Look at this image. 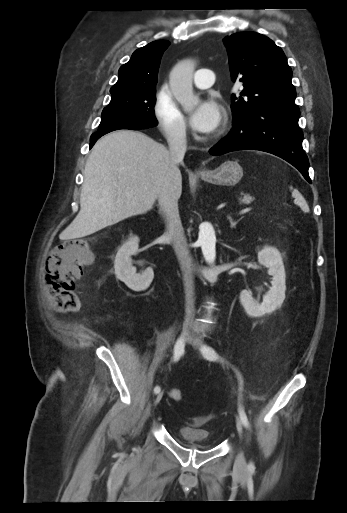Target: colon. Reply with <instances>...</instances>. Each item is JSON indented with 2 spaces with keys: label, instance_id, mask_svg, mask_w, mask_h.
Listing matches in <instances>:
<instances>
[{
  "label": "colon",
  "instance_id": "obj_1",
  "mask_svg": "<svg viewBox=\"0 0 347 513\" xmlns=\"http://www.w3.org/2000/svg\"><path fill=\"white\" fill-rule=\"evenodd\" d=\"M94 256L86 240L76 238L60 244L48 260L47 283L55 305L64 311H74L80 305L75 283L83 268L93 262ZM169 396L175 402L183 399L182 392L173 388Z\"/></svg>",
  "mask_w": 347,
  "mask_h": 513
}]
</instances>
